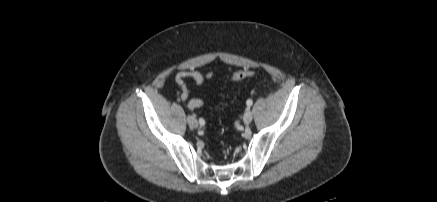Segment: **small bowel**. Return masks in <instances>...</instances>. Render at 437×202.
<instances>
[{"mask_svg":"<svg viewBox=\"0 0 437 202\" xmlns=\"http://www.w3.org/2000/svg\"><path fill=\"white\" fill-rule=\"evenodd\" d=\"M212 76H213V73L209 72L206 75V78L209 79ZM188 79L193 80L197 85L200 86L204 83L205 77L197 71H189V72L182 71V72H179L175 77L176 83L181 87L180 100L183 102H187V108L192 111L194 109H197V108L204 106L205 101L202 99H199V98H194V99L188 100L189 90H188L187 85H186V81Z\"/></svg>","mask_w":437,"mask_h":202,"instance_id":"c3829d8e","label":"small bowel"}]
</instances>
